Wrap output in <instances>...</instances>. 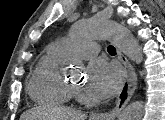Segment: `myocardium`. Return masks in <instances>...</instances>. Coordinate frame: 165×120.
<instances>
[{
  "mask_svg": "<svg viewBox=\"0 0 165 120\" xmlns=\"http://www.w3.org/2000/svg\"><path fill=\"white\" fill-rule=\"evenodd\" d=\"M70 88L74 93H80L82 91V88L80 86H75L70 84Z\"/></svg>",
  "mask_w": 165,
  "mask_h": 120,
  "instance_id": "obj_1",
  "label": "myocardium"
}]
</instances>
